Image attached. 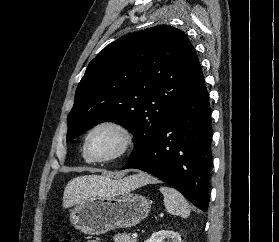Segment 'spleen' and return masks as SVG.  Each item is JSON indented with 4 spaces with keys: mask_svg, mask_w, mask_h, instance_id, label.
Wrapping results in <instances>:
<instances>
[{
    "mask_svg": "<svg viewBox=\"0 0 279 242\" xmlns=\"http://www.w3.org/2000/svg\"><path fill=\"white\" fill-rule=\"evenodd\" d=\"M160 192L164 196V205L170 214L184 218L190 215L189 204L179 191L172 187L161 186Z\"/></svg>",
    "mask_w": 279,
    "mask_h": 242,
    "instance_id": "1",
    "label": "spleen"
}]
</instances>
